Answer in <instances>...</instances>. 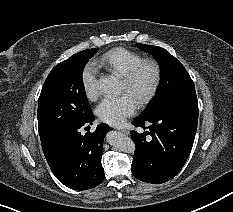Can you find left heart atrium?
Wrapping results in <instances>:
<instances>
[{"label": "left heart atrium", "instance_id": "obj_1", "mask_svg": "<svg viewBox=\"0 0 233 212\" xmlns=\"http://www.w3.org/2000/svg\"><path fill=\"white\" fill-rule=\"evenodd\" d=\"M137 109V102L125 93L119 97H106L96 108L98 117L113 126H120L126 118L132 116Z\"/></svg>", "mask_w": 233, "mask_h": 212}]
</instances>
